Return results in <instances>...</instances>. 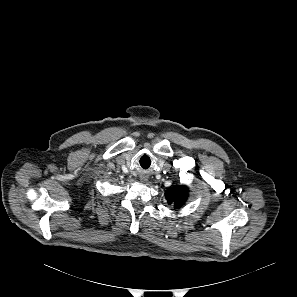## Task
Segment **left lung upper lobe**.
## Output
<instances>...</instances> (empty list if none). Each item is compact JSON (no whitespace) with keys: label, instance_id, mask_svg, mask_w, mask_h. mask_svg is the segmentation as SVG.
<instances>
[{"label":"left lung upper lobe","instance_id":"5c2ea615","mask_svg":"<svg viewBox=\"0 0 297 297\" xmlns=\"http://www.w3.org/2000/svg\"><path fill=\"white\" fill-rule=\"evenodd\" d=\"M187 188L185 186H176L166 192V198L175 208L181 207L187 199Z\"/></svg>","mask_w":297,"mask_h":297}]
</instances>
